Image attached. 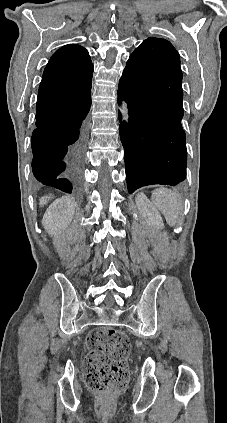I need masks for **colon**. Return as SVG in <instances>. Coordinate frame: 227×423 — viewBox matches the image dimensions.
Wrapping results in <instances>:
<instances>
[{
	"mask_svg": "<svg viewBox=\"0 0 227 423\" xmlns=\"http://www.w3.org/2000/svg\"><path fill=\"white\" fill-rule=\"evenodd\" d=\"M87 347L86 386L102 394L122 390L129 377L127 360L131 344L128 337L114 328L99 327L89 333Z\"/></svg>",
	"mask_w": 227,
	"mask_h": 423,
	"instance_id": "5ec220e1",
	"label": "colon"
}]
</instances>
